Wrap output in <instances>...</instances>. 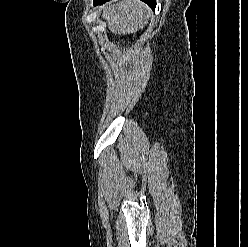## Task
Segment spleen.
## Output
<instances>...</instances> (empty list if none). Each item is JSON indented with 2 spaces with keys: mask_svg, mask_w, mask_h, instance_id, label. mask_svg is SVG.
I'll list each match as a JSON object with an SVG mask.
<instances>
[{
  "mask_svg": "<svg viewBox=\"0 0 248 247\" xmlns=\"http://www.w3.org/2000/svg\"><path fill=\"white\" fill-rule=\"evenodd\" d=\"M150 12L140 0H120L104 7L103 17L109 29L115 34L136 33L147 25Z\"/></svg>",
  "mask_w": 248,
  "mask_h": 247,
  "instance_id": "1",
  "label": "spleen"
}]
</instances>
